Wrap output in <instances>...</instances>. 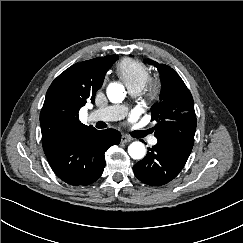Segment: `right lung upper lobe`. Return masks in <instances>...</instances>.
<instances>
[{"mask_svg":"<svg viewBox=\"0 0 243 243\" xmlns=\"http://www.w3.org/2000/svg\"><path fill=\"white\" fill-rule=\"evenodd\" d=\"M117 56H105L76 63L50 85L40 114L42 143H52L94 128L79 121V109L94 102L106 72Z\"/></svg>","mask_w":243,"mask_h":243,"instance_id":"obj_1","label":"right lung upper lobe"}]
</instances>
